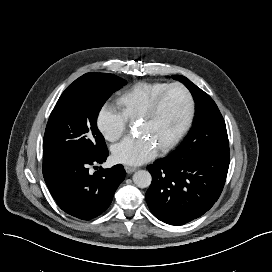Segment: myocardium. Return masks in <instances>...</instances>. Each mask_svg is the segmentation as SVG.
<instances>
[{"instance_id":"myocardium-1","label":"myocardium","mask_w":272,"mask_h":272,"mask_svg":"<svg viewBox=\"0 0 272 272\" xmlns=\"http://www.w3.org/2000/svg\"><path fill=\"white\" fill-rule=\"evenodd\" d=\"M172 89H180L185 94L187 99V104H188L187 114L179 130L169 140H167L163 145L159 147L161 151H166L170 149L171 147H173L190 128L194 115H195V100H194L193 94L182 83L169 84L152 99V101L149 103L146 110L142 113V115L139 118L140 121H144V120H148L152 118L157 113L167 93L171 91Z\"/></svg>"}]
</instances>
